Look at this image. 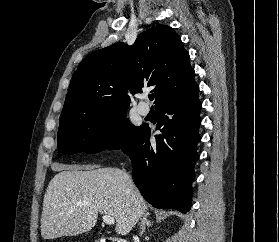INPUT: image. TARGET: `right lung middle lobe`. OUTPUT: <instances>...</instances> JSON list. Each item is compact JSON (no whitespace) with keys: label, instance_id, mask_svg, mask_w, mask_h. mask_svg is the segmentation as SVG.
Here are the masks:
<instances>
[{"label":"right lung middle lobe","instance_id":"obj_1","mask_svg":"<svg viewBox=\"0 0 279 242\" xmlns=\"http://www.w3.org/2000/svg\"><path fill=\"white\" fill-rule=\"evenodd\" d=\"M143 125L135 127L126 121V112L106 118H88L59 125V157L64 154L98 152L106 146L125 150L139 134Z\"/></svg>","mask_w":279,"mask_h":242}]
</instances>
